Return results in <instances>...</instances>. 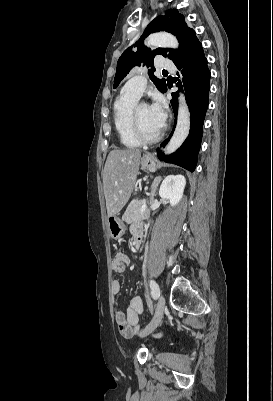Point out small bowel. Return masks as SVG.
<instances>
[{
  "mask_svg": "<svg viewBox=\"0 0 273 401\" xmlns=\"http://www.w3.org/2000/svg\"><path fill=\"white\" fill-rule=\"evenodd\" d=\"M138 235L141 237L143 236V229L139 225H136L132 228V236L135 238ZM130 261V257L127 254L123 252L116 253L112 260L113 271L115 273H122ZM112 291L116 294L121 291V283L119 280L114 279L112 281ZM150 310L155 312L157 307L152 305ZM143 311L144 307L142 300L138 295H135L130 299L125 312L118 311L116 313L115 324L122 336L130 337L134 333L139 325V320L143 314Z\"/></svg>",
  "mask_w": 273,
  "mask_h": 401,
  "instance_id": "obj_1",
  "label": "small bowel"
}]
</instances>
